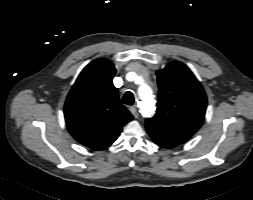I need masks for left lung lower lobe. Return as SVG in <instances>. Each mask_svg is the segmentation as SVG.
I'll return each mask as SVG.
<instances>
[{"label": "left lung lower lobe", "mask_w": 253, "mask_h": 200, "mask_svg": "<svg viewBox=\"0 0 253 200\" xmlns=\"http://www.w3.org/2000/svg\"><path fill=\"white\" fill-rule=\"evenodd\" d=\"M150 137L164 148H173L186 142L191 136L184 133L168 131L151 125H146Z\"/></svg>", "instance_id": "1"}]
</instances>
